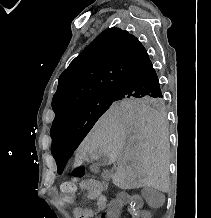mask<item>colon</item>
Returning <instances> with one entry per match:
<instances>
[{"label":"colon","instance_id":"colon-1","mask_svg":"<svg viewBox=\"0 0 211 218\" xmlns=\"http://www.w3.org/2000/svg\"><path fill=\"white\" fill-rule=\"evenodd\" d=\"M84 168L79 166L73 170L74 179L66 181L60 186V199L66 203L70 204L77 198L79 189L77 185V179L84 175Z\"/></svg>","mask_w":211,"mask_h":218}]
</instances>
